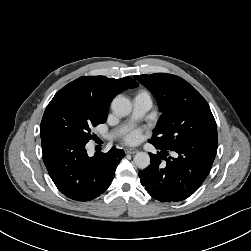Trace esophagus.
<instances>
[{
  "label": "esophagus",
  "mask_w": 251,
  "mask_h": 251,
  "mask_svg": "<svg viewBox=\"0 0 251 251\" xmlns=\"http://www.w3.org/2000/svg\"><path fill=\"white\" fill-rule=\"evenodd\" d=\"M125 152L128 153V154H135L138 152V149H135V148H127L125 149Z\"/></svg>",
  "instance_id": "esophagus-1"
}]
</instances>
